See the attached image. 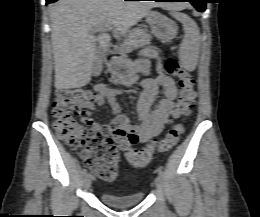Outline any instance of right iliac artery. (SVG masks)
<instances>
[{"mask_svg": "<svg viewBox=\"0 0 260 217\" xmlns=\"http://www.w3.org/2000/svg\"><path fill=\"white\" fill-rule=\"evenodd\" d=\"M83 175L86 176L87 175V170L86 169H83Z\"/></svg>", "mask_w": 260, "mask_h": 217, "instance_id": "right-iliac-artery-1", "label": "right iliac artery"}]
</instances>
